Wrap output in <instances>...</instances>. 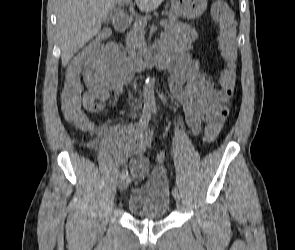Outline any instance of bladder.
Segmentation results:
<instances>
[{
	"instance_id": "obj_1",
	"label": "bladder",
	"mask_w": 295,
	"mask_h": 250,
	"mask_svg": "<svg viewBox=\"0 0 295 250\" xmlns=\"http://www.w3.org/2000/svg\"><path fill=\"white\" fill-rule=\"evenodd\" d=\"M169 209L168 181L162 169H153L141 184L131 190L127 210L138 219L160 220L167 216Z\"/></svg>"
}]
</instances>
